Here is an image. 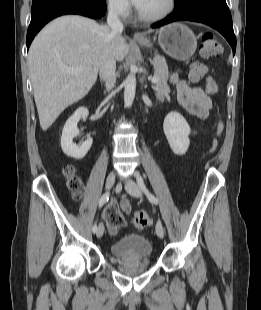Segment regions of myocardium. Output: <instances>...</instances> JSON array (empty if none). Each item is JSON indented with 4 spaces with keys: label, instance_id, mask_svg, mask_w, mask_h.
Masks as SVG:
<instances>
[{
    "label": "myocardium",
    "instance_id": "myocardium-1",
    "mask_svg": "<svg viewBox=\"0 0 261 310\" xmlns=\"http://www.w3.org/2000/svg\"><path fill=\"white\" fill-rule=\"evenodd\" d=\"M175 5H176V0H167L166 7L159 13H156L153 15H146V14L141 13L139 9H137L136 14H137L138 19L143 22H156L170 15L172 11L174 10Z\"/></svg>",
    "mask_w": 261,
    "mask_h": 310
}]
</instances>
